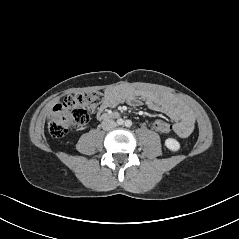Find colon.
I'll list each match as a JSON object with an SVG mask.
<instances>
[{
    "label": "colon",
    "instance_id": "1",
    "mask_svg": "<svg viewBox=\"0 0 239 239\" xmlns=\"http://www.w3.org/2000/svg\"><path fill=\"white\" fill-rule=\"evenodd\" d=\"M103 100L98 91L68 95L51 111L48 130L53 137L65 136L71 128L84 126L90 113L97 109ZM152 129L158 135H165L171 129V122L165 116H158L152 121Z\"/></svg>",
    "mask_w": 239,
    "mask_h": 239
}]
</instances>
